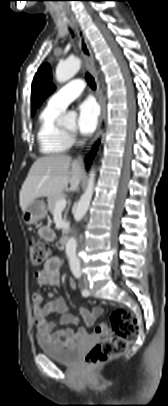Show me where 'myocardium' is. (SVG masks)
I'll list each match as a JSON object with an SVG mask.
<instances>
[{"mask_svg":"<svg viewBox=\"0 0 168 406\" xmlns=\"http://www.w3.org/2000/svg\"><path fill=\"white\" fill-rule=\"evenodd\" d=\"M65 130V132L67 133V134H72L73 133V130H67V129H64Z\"/></svg>","mask_w":168,"mask_h":406,"instance_id":"f54148a6","label":"myocardium"}]
</instances>
